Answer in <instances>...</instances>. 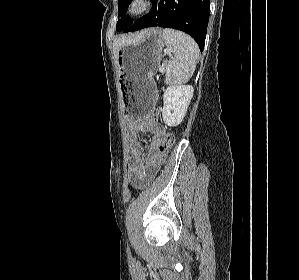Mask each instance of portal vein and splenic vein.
Returning a JSON list of instances; mask_svg holds the SVG:
<instances>
[{"instance_id": "18ae733b", "label": "portal vein and splenic vein", "mask_w": 299, "mask_h": 280, "mask_svg": "<svg viewBox=\"0 0 299 280\" xmlns=\"http://www.w3.org/2000/svg\"><path fill=\"white\" fill-rule=\"evenodd\" d=\"M169 55H170V53H169ZM159 71H160V72H164V71H165V67H164V65H161V66L159 67Z\"/></svg>"}]
</instances>
